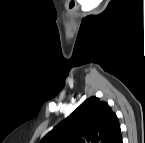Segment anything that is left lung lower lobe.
Wrapping results in <instances>:
<instances>
[{
    "mask_svg": "<svg viewBox=\"0 0 145 143\" xmlns=\"http://www.w3.org/2000/svg\"><path fill=\"white\" fill-rule=\"evenodd\" d=\"M116 143H122V137H120Z\"/></svg>",
    "mask_w": 145,
    "mask_h": 143,
    "instance_id": "1",
    "label": "left lung lower lobe"
}]
</instances>
